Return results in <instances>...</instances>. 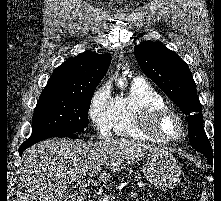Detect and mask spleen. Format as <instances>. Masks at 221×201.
Listing matches in <instances>:
<instances>
[{"label": "spleen", "instance_id": "3e777b00", "mask_svg": "<svg viewBox=\"0 0 221 201\" xmlns=\"http://www.w3.org/2000/svg\"><path fill=\"white\" fill-rule=\"evenodd\" d=\"M206 197L205 194H202L201 200L200 201H205Z\"/></svg>", "mask_w": 221, "mask_h": 201}]
</instances>
